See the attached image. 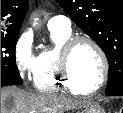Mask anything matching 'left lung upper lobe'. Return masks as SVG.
<instances>
[{
    "instance_id": "obj_1",
    "label": "left lung upper lobe",
    "mask_w": 123,
    "mask_h": 113,
    "mask_svg": "<svg viewBox=\"0 0 123 113\" xmlns=\"http://www.w3.org/2000/svg\"><path fill=\"white\" fill-rule=\"evenodd\" d=\"M108 58V96H123V0H56Z\"/></svg>"
}]
</instances>
